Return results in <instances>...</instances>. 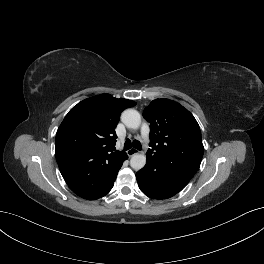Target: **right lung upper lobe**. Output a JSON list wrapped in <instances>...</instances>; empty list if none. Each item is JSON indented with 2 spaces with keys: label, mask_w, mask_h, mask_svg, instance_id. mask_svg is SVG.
<instances>
[{
  "label": "right lung upper lobe",
  "mask_w": 264,
  "mask_h": 264,
  "mask_svg": "<svg viewBox=\"0 0 264 264\" xmlns=\"http://www.w3.org/2000/svg\"><path fill=\"white\" fill-rule=\"evenodd\" d=\"M134 101L101 94L75 105L56 134L55 156L69 188L78 196L95 200L113 187L128 158L115 149V127L121 112Z\"/></svg>",
  "instance_id": "right-lung-upper-lobe-1"
}]
</instances>
